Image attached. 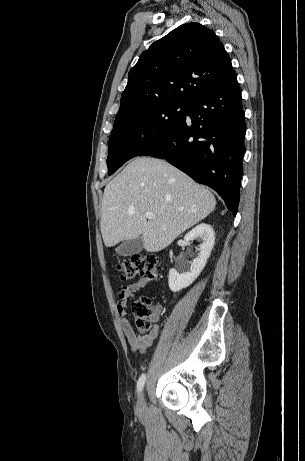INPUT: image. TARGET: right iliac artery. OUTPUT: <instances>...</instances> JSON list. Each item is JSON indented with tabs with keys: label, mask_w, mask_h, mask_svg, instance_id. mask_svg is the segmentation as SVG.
<instances>
[{
	"label": "right iliac artery",
	"mask_w": 305,
	"mask_h": 461,
	"mask_svg": "<svg viewBox=\"0 0 305 461\" xmlns=\"http://www.w3.org/2000/svg\"><path fill=\"white\" fill-rule=\"evenodd\" d=\"M146 381V375L142 374L137 382V391L141 392Z\"/></svg>",
	"instance_id": "82829eb1"
}]
</instances>
